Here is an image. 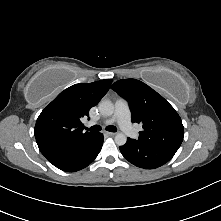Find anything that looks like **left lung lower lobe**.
Listing matches in <instances>:
<instances>
[{
  "mask_svg": "<svg viewBox=\"0 0 221 221\" xmlns=\"http://www.w3.org/2000/svg\"><path fill=\"white\" fill-rule=\"evenodd\" d=\"M122 155L132 164L145 169H154L167 163L177 150L139 143L134 139H127L120 147Z\"/></svg>",
  "mask_w": 221,
  "mask_h": 221,
  "instance_id": "1",
  "label": "left lung lower lobe"
}]
</instances>
